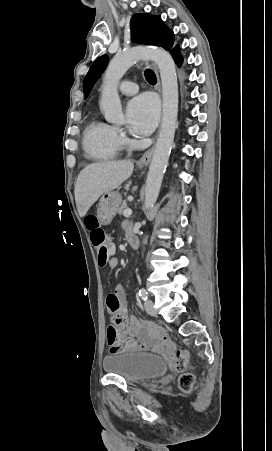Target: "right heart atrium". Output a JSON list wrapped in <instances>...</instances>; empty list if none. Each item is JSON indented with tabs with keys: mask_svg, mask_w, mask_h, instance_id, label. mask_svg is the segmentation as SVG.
I'll return each mask as SVG.
<instances>
[{
	"mask_svg": "<svg viewBox=\"0 0 272 451\" xmlns=\"http://www.w3.org/2000/svg\"><path fill=\"white\" fill-rule=\"evenodd\" d=\"M113 129H114V132H115V134L117 136V139L118 140H122L124 138V134H123L122 130L120 128H118V127H114Z\"/></svg>",
	"mask_w": 272,
	"mask_h": 451,
	"instance_id": "obj_1",
	"label": "right heart atrium"
}]
</instances>
